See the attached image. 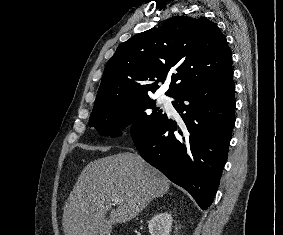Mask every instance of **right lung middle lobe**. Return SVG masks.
Returning <instances> with one entry per match:
<instances>
[{
  "mask_svg": "<svg viewBox=\"0 0 283 235\" xmlns=\"http://www.w3.org/2000/svg\"><path fill=\"white\" fill-rule=\"evenodd\" d=\"M166 117V113L156 108L155 101L145 96L95 105L89 124L101 134L112 137L120 134V127L132 124L130 132L135 138L150 131Z\"/></svg>",
  "mask_w": 283,
  "mask_h": 235,
  "instance_id": "1",
  "label": "right lung middle lobe"
}]
</instances>
